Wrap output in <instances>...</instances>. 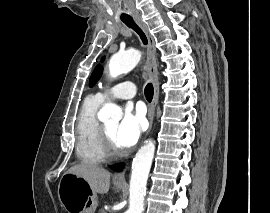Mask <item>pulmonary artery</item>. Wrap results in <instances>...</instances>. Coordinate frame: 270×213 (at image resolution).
<instances>
[{"mask_svg": "<svg viewBox=\"0 0 270 213\" xmlns=\"http://www.w3.org/2000/svg\"><path fill=\"white\" fill-rule=\"evenodd\" d=\"M136 90L133 82L125 81L116 84L109 92H98L94 97L101 103L108 98L131 100L136 97Z\"/></svg>", "mask_w": 270, "mask_h": 213, "instance_id": "pulmonary-artery-1", "label": "pulmonary artery"}]
</instances>
